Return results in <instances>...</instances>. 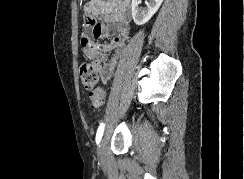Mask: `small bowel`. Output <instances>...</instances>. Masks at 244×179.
I'll return each instance as SVG.
<instances>
[{
	"instance_id": "obj_1",
	"label": "small bowel",
	"mask_w": 244,
	"mask_h": 179,
	"mask_svg": "<svg viewBox=\"0 0 244 179\" xmlns=\"http://www.w3.org/2000/svg\"><path fill=\"white\" fill-rule=\"evenodd\" d=\"M131 11L129 3L120 0H91L85 4L81 46L87 59L101 68V79L108 82L125 55V43L130 34ZM102 19V21H98ZM112 37L110 42L95 39Z\"/></svg>"
}]
</instances>
